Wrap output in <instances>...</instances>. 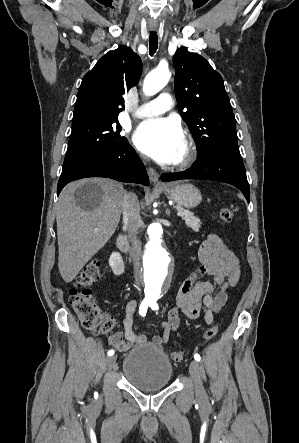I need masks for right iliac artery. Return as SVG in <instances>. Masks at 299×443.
I'll return each instance as SVG.
<instances>
[{
	"instance_id": "82829eb1",
	"label": "right iliac artery",
	"mask_w": 299,
	"mask_h": 443,
	"mask_svg": "<svg viewBox=\"0 0 299 443\" xmlns=\"http://www.w3.org/2000/svg\"><path fill=\"white\" fill-rule=\"evenodd\" d=\"M149 303H150V301L149 300H143L142 301V303H141V305H140V307H139V314L141 315V316H145L146 315V312H147V309H148V306H149ZM108 356H112V355H114V350L113 349H111V350H109L108 351Z\"/></svg>"
}]
</instances>
